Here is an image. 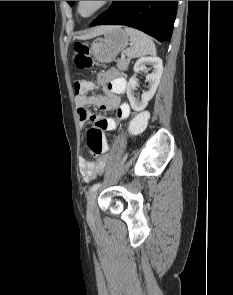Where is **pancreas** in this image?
Returning <instances> with one entry per match:
<instances>
[{
    "mask_svg": "<svg viewBox=\"0 0 233 295\" xmlns=\"http://www.w3.org/2000/svg\"><path fill=\"white\" fill-rule=\"evenodd\" d=\"M129 63H130V59H121L118 61L117 63V67L120 69V70H127L128 69V66H129Z\"/></svg>",
    "mask_w": 233,
    "mask_h": 295,
    "instance_id": "pancreas-1",
    "label": "pancreas"
}]
</instances>
